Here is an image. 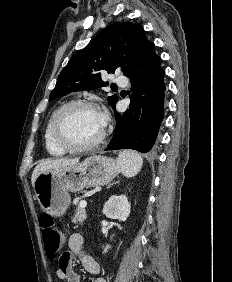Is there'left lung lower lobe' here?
Wrapping results in <instances>:
<instances>
[{"instance_id": "obj_1", "label": "left lung lower lobe", "mask_w": 232, "mask_h": 282, "mask_svg": "<svg viewBox=\"0 0 232 282\" xmlns=\"http://www.w3.org/2000/svg\"><path fill=\"white\" fill-rule=\"evenodd\" d=\"M160 57L150 42L140 61L126 75L131 83L130 106L122 116L115 111L114 136L105 150L133 149L142 153L151 151L163 120L164 70Z\"/></svg>"}]
</instances>
